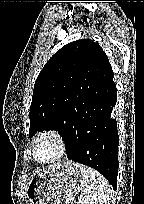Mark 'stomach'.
<instances>
[{
    "label": "stomach",
    "instance_id": "1",
    "mask_svg": "<svg viewBox=\"0 0 144 204\" xmlns=\"http://www.w3.org/2000/svg\"><path fill=\"white\" fill-rule=\"evenodd\" d=\"M83 167L72 162L56 163L31 177L26 187L28 204H62L82 189Z\"/></svg>",
    "mask_w": 144,
    "mask_h": 204
}]
</instances>
